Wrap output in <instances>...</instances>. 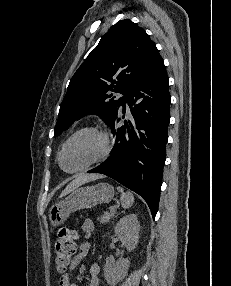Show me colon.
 Here are the masks:
<instances>
[{"label": "colon", "mask_w": 231, "mask_h": 286, "mask_svg": "<svg viewBox=\"0 0 231 286\" xmlns=\"http://www.w3.org/2000/svg\"><path fill=\"white\" fill-rule=\"evenodd\" d=\"M77 238V232L73 229L63 227L59 230L55 244V263L59 272H64L70 265L76 253Z\"/></svg>", "instance_id": "5ec220e1"}]
</instances>
